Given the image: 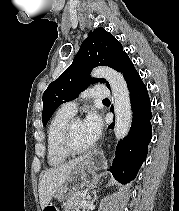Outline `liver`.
<instances>
[{"label": "liver", "mask_w": 179, "mask_h": 211, "mask_svg": "<svg viewBox=\"0 0 179 211\" xmlns=\"http://www.w3.org/2000/svg\"><path fill=\"white\" fill-rule=\"evenodd\" d=\"M84 162L85 157H80L58 167L47 169L44 172L38 187L39 201L42 209H44L52 197L58 193L59 189L68 179L71 171Z\"/></svg>", "instance_id": "1"}]
</instances>
